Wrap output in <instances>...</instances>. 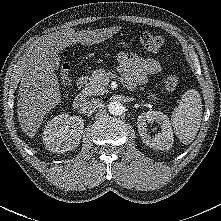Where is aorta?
I'll list each match as a JSON object with an SVG mask.
<instances>
[{"instance_id":"obj_1","label":"aorta","mask_w":221,"mask_h":221,"mask_svg":"<svg viewBox=\"0 0 221 221\" xmlns=\"http://www.w3.org/2000/svg\"><path fill=\"white\" fill-rule=\"evenodd\" d=\"M108 111L112 115H120L123 112V106L120 102L114 101L110 102L108 105Z\"/></svg>"}]
</instances>
